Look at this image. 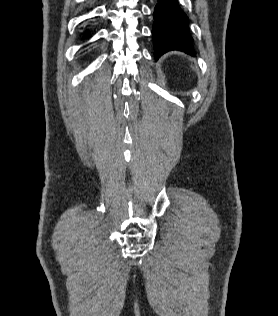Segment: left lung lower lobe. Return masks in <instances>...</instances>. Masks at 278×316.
Wrapping results in <instances>:
<instances>
[{
    "mask_svg": "<svg viewBox=\"0 0 278 316\" xmlns=\"http://www.w3.org/2000/svg\"><path fill=\"white\" fill-rule=\"evenodd\" d=\"M153 42L155 58L171 50L194 55L188 17L177 0H158L154 9Z\"/></svg>",
    "mask_w": 278,
    "mask_h": 316,
    "instance_id": "left-lung-lower-lobe-1",
    "label": "left lung lower lobe"
}]
</instances>
